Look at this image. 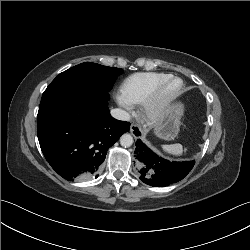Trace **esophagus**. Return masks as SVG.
<instances>
[{
    "mask_svg": "<svg viewBox=\"0 0 250 250\" xmlns=\"http://www.w3.org/2000/svg\"><path fill=\"white\" fill-rule=\"evenodd\" d=\"M130 132L135 138H142L143 137V131L137 124H132L130 126Z\"/></svg>",
    "mask_w": 250,
    "mask_h": 250,
    "instance_id": "obj_1",
    "label": "esophagus"
}]
</instances>
